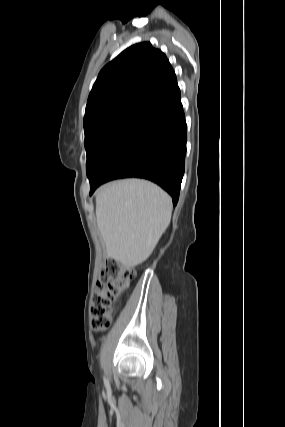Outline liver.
<instances>
[{"mask_svg": "<svg viewBox=\"0 0 285 427\" xmlns=\"http://www.w3.org/2000/svg\"><path fill=\"white\" fill-rule=\"evenodd\" d=\"M170 196L140 179L114 181L96 192V219L108 257L127 266L144 262L168 227Z\"/></svg>", "mask_w": 285, "mask_h": 427, "instance_id": "liver-1", "label": "liver"}]
</instances>
